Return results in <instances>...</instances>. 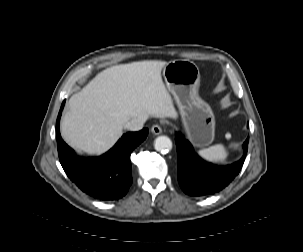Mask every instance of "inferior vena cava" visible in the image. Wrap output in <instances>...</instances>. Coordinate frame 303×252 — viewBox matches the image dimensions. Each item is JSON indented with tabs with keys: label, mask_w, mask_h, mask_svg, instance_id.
<instances>
[{
	"label": "inferior vena cava",
	"mask_w": 303,
	"mask_h": 252,
	"mask_svg": "<svg viewBox=\"0 0 303 252\" xmlns=\"http://www.w3.org/2000/svg\"><path fill=\"white\" fill-rule=\"evenodd\" d=\"M144 122L143 118L132 119L125 124V128L129 131H139L143 128Z\"/></svg>",
	"instance_id": "602c4592"
}]
</instances>
